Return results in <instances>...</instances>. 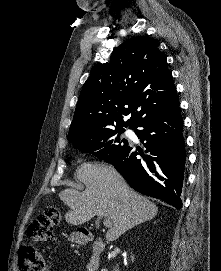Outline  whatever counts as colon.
<instances>
[{
	"label": "colon",
	"mask_w": 221,
	"mask_h": 271,
	"mask_svg": "<svg viewBox=\"0 0 221 271\" xmlns=\"http://www.w3.org/2000/svg\"><path fill=\"white\" fill-rule=\"evenodd\" d=\"M59 223V214L54 208L38 215L31 223L28 233L37 242L49 241L55 237V226ZM20 271H47L45 260L38 248L31 244H22L18 249Z\"/></svg>",
	"instance_id": "1"
}]
</instances>
